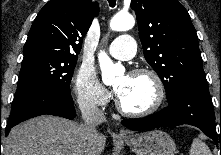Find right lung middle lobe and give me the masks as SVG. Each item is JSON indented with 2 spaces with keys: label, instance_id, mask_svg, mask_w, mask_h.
<instances>
[{
  "label": "right lung middle lobe",
  "instance_id": "right-lung-middle-lobe-1",
  "mask_svg": "<svg viewBox=\"0 0 221 155\" xmlns=\"http://www.w3.org/2000/svg\"><path fill=\"white\" fill-rule=\"evenodd\" d=\"M77 59L46 54L24 56L13 103L29 88L42 86L71 95L70 81Z\"/></svg>",
  "mask_w": 221,
  "mask_h": 155
}]
</instances>
